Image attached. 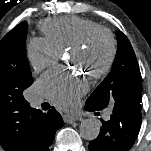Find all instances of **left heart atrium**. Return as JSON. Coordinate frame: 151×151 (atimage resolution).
Returning <instances> with one entry per match:
<instances>
[{
    "mask_svg": "<svg viewBox=\"0 0 151 151\" xmlns=\"http://www.w3.org/2000/svg\"><path fill=\"white\" fill-rule=\"evenodd\" d=\"M45 95L59 108L68 109L87 92L88 82L84 76L61 69L49 71L40 79Z\"/></svg>",
    "mask_w": 151,
    "mask_h": 151,
    "instance_id": "left-heart-atrium-1",
    "label": "left heart atrium"
}]
</instances>
